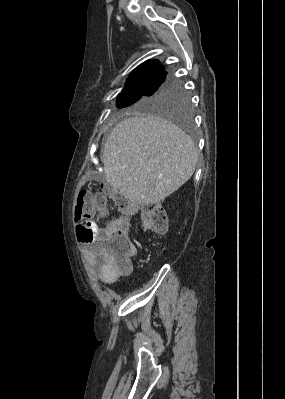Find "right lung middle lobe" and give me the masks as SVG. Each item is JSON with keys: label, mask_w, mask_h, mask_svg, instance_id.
<instances>
[{"label": "right lung middle lobe", "mask_w": 285, "mask_h": 399, "mask_svg": "<svg viewBox=\"0 0 285 399\" xmlns=\"http://www.w3.org/2000/svg\"><path fill=\"white\" fill-rule=\"evenodd\" d=\"M128 106L134 110L166 116L181 124L185 129L190 128L191 104L189 95L180 82L168 81L157 88L137 93L119 94L117 107Z\"/></svg>", "instance_id": "right-lung-middle-lobe-1"}]
</instances>
